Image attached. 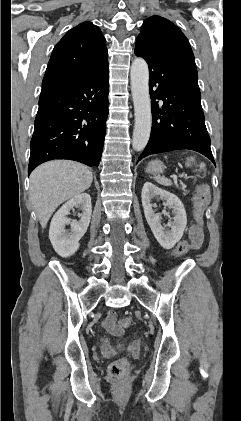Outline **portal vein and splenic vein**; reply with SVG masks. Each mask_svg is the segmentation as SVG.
Returning a JSON list of instances; mask_svg holds the SVG:
<instances>
[{"label": "portal vein and splenic vein", "instance_id": "1", "mask_svg": "<svg viewBox=\"0 0 241 421\" xmlns=\"http://www.w3.org/2000/svg\"><path fill=\"white\" fill-rule=\"evenodd\" d=\"M171 177L173 178V180H174L175 182H177V179H178L177 175H172Z\"/></svg>", "mask_w": 241, "mask_h": 421}]
</instances>
